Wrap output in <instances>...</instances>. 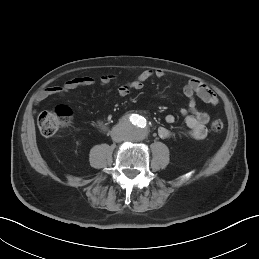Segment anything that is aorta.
<instances>
[{
    "instance_id": "1",
    "label": "aorta",
    "mask_w": 259,
    "mask_h": 259,
    "mask_svg": "<svg viewBox=\"0 0 259 259\" xmlns=\"http://www.w3.org/2000/svg\"><path fill=\"white\" fill-rule=\"evenodd\" d=\"M126 131L128 139L132 141L143 140L148 134L146 122L140 116H137V119L128 118L126 120Z\"/></svg>"
}]
</instances>
